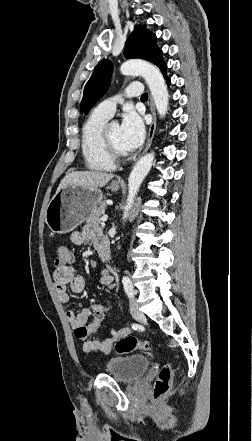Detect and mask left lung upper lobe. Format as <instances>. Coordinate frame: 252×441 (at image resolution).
I'll list each match as a JSON object with an SVG mask.
<instances>
[{
    "mask_svg": "<svg viewBox=\"0 0 252 441\" xmlns=\"http://www.w3.org/2000/svg\"><path fill=\"white\" fill-rule=\"evenodd\" d=\"M124 55L126 58H139L156 64L162 55L156 45V36L146 25H136L131 36L126 41ZM112 63L104 59L100 61L86 83L81 102V113L87 114L103 96L110 85Z\"/></svg>",
    "mask_w": 252,
    "mask_h": 441,
    "instance_id": "1",
    "label": "left lung upper lobe"
}]
</instances>
